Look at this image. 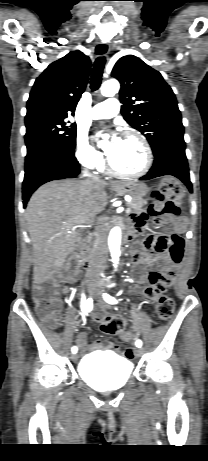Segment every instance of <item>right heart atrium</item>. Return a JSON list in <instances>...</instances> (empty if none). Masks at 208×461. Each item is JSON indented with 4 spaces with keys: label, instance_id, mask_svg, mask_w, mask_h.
<instances>
[{
    "label": "right heart atrium",
    "instance_id": "1",
    "mask_svg": "<svg viewBox=\"0 0 208 461\" xmlns=\"http://www.w3.org/2000/svg\"><path fill=\"white\" fill-rule=\"evenodd\" d=\"M76 158L83 168L89 170L99 168L103 163L102 154L82 134L77 137Z\"/></svg>",
    "mask_w": 208,
    "mask_h": 461
}]
</instances>
